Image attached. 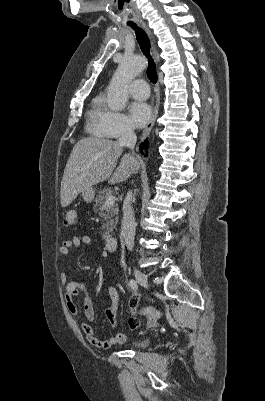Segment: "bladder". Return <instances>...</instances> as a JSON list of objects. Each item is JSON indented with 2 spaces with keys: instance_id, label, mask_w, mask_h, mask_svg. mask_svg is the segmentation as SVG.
Here are the masks:
<instances>
[{
  "instance_id": "bladder-1",
  "label": "bladder",
  "mask_w": 265,
  "mask_h": 401,
  "mask_svg": "<svg viewBox=\"0 0 265 401\" xmlns=\"http://www.w3.org/2000/svg\"><path fill=\"white\" fill-rule=\"evenodd\" d=\"M149 343V339L143 338L140 340L135 341L134 343L131 344V347L134 349H140L145 347Z\"/></svg>"
}]
</instances>
